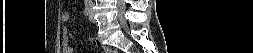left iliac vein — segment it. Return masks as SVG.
Instances as JSON below:
<instances>
[{
    "label": "left iliac vein",
    "mask_w": 253,
    "mask_h": 53,
    "mask_svg": "<svg viewBox=\"0 0 253 53\" xmlns=\"http://www.w3.org/2000/svg\"><path fill=\"white\" fill-rule=\"evenodd\" d=\"M89 20L91 21V22H94L95 20H94V17H93V11H92V6L90 5V12H89Z\"/></svg>",
    "instance_id": "left-iliac-vein-1"
}]
</instances>
